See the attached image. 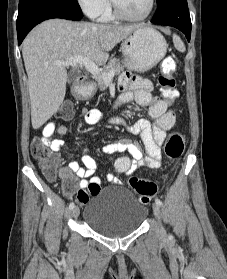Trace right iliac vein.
<instances>
[{
    "mask_svg": "<svg viewBox=\"0 0 227 279\" xmlns=\"http://www.w3.org/2000/svg\"><path fill=\"white\" fill-rule=\"evenodd\" d=\"M79 213H80V210H79L78 207H74V208L72 209V217H73V218H77V217L79 216Z\"/></svg>",
    "mask_w": 227,
    "mask_h": 279,
    "instance_id": "right-iliac-vein-1",
    "label": "right iliac vein"
}]
</instances>
